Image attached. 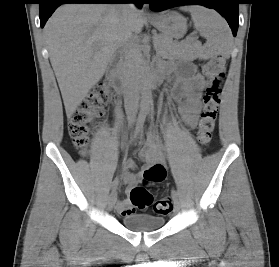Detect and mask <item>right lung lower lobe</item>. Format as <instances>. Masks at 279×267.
I'll return each instance as SVG.
<instances>
[{"label":"right lung lower lobe","mask_w":279,"mask_h":267,"mask_svg":"<svg viewBox=\"0 0 279 267\" xmlns=\"http://www.w3.org/2000/svg\"><path fill=\"white\" fill-rule=\"evenodd\" d=\"M134 3L141 8L143 0H40L39 16L40 24L43 28L48 18L52 15L57 7L64 3Z\"/></svg>","instance_id":"98d812e1"}]
</instances>
